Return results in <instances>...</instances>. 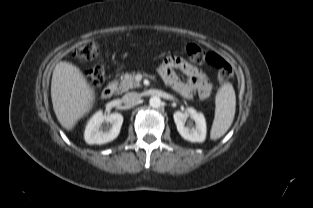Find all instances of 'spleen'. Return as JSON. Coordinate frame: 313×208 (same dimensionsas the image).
<instances>
[{
	"label": "spleen",
	"instance_id": "obj_1",
	"mask_svg": "<svg viewBox=\"0 0 313 208\" xmlns=\"http://www.w3.org/2000/svg\"><path fill=\"white\" fill-rule=\"evenodd\" d=\"M215 118L210 131V138L217 140L230 128L236 109L235 91L231 84H224L215 99Z\"/></svg>",
	"mask_w": 313,
	"mask_h": 208
}]
</instances>
